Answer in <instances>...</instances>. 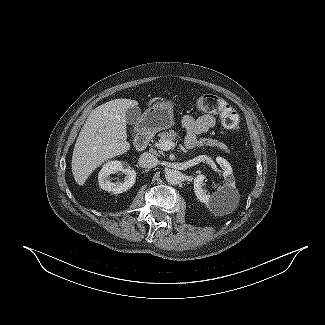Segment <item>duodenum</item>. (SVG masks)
I'll list each match as a JSON object with an SVG mask.
<instances>
[{
	"label": "duodenum",
	"instance_id": "410a0bca",
	"mask_svg": "<svg viewBox=\"0 0 325 325\" xmlns=\"http://www.w3.org/2000/svg\"><path fill=\"white\" fill-rule=\"evenodd\" d=\"M151 139V133L150 132H141L137 135L135 138V146L139 150H143L146 148L147 144L149 143Z\"/></svg>",
	"mask_w": 325,
	"mask_h": 325
}]
</instances>
